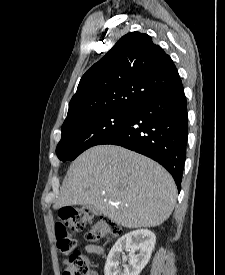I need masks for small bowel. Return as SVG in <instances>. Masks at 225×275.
<instances>
[{
	"label": "small bowel",
	"instance_id": "obj_1",
	"mask_svg": "<svg viewBox=\"0 0 225 275\" xmlns=\"http://www.w3.org/2000/svg\"><path fill=\"white\" fill-rule=\"evenodd\" d=\"M84 251L89 254H96V255L104 254V248L102 246L94 245V244L85 245ZM90 275H99V274L95 271H92V272H90Z\"/></svg>",
	"mask_w": 225,
	"mask_h": 275
}]
</instances>
